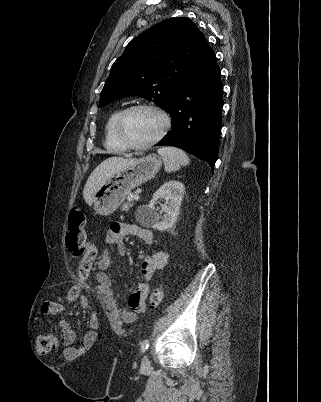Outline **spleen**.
<instances>
[{
	"mask_svg": "<svg viewBox=\"0 0 321 402\" xmlns=\"http://www.w3.org/2000/svg\"><path fill=\"white\" fill-rule=\"evenodd\" d=\"M164 161L166 172L178 171L182 166L190 163L188 155L181 149L175 147H162L157 150Z\"/></svg>",
	"mask_w": 321,
	"mask_h": 402,
	"instance_id": "spleen-1",
	"label": "spleen"
}]
</instances>
